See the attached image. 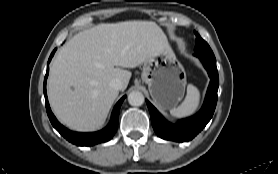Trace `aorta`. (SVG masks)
Instances as JSON below:
<instances>
[{"mask_svg": "<svg viewBox=\"0 0 278 174\" xmlns=\"http://www.w3.org/2000/svg\"><path fill=\"white\" fill-rule=\"evenodd\" d=\"M128 102L131 106H141L144 103V95L139 91H132L128 95Z\"/></svg>", "mask_w": 278, "mask_h": 174, "instance_id": "1", "label": "aorta"}]
</instances>
